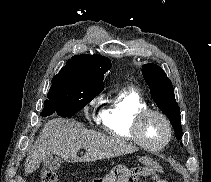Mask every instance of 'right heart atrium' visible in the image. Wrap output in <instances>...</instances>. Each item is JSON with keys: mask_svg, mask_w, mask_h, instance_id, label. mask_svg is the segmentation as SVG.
<instances>
[{"mask_svg": "<svg viewBox=\"0 0 211 182\" xmlns=\"http://www.w3.org/2000/svg\"><path fill=\"white\" fill-rule=\"evenodd\" d=\"M99 104V98H95L94 100H92L90 103H89V108L91 110V118L94 119V120H97L100 118V115L99 114H95L94 113V110L95 108L98 106Z\"/></svg>", "mask_w": 211, "mask_h": 182, "instance_id": "obj_1", "label": "right heart atrium"}]
</instances>
